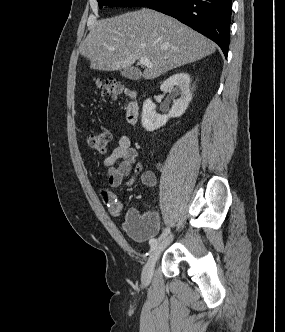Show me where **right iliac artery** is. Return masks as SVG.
I'll list each match as a JSON object with an SVG mask.
<instances>
[{
	"label": "right iliac artery",
	"mask_w": 285,
	"mask_h": 332,
	"mask_svg": "<svg viewBox=\"0 0 285 332\" xmlns=\"http://www.w3.org/2000/svg\"><path fill=\"white\" fill-rule=\"evenodd\" d=\"M169 233H170V228H166L163 230L162 234L160 235V237L157 240H152L150 242L151 251H153L156 248L158 242L161 241L163 238H165Z\"/></svg>",
	"instance_id": "1"
}]
</instances>
